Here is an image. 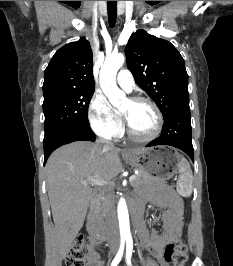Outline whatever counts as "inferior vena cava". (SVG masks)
<instances>
[{
    "mask_svg": "<svg viewBox=\"0 0 233 266\" xmlns=\"http://www.w3.org/2000/svg\"><path fill=\"white\" fill-rule=\"evenodd\" d=\"M98 143L105 144L106 147H109L112 145L110 142L105 141L103 139H99L97 141ZM107 218H106V229L110 233V235L116 240V244L118 245V240H117V223H116V218L114 214V210L112 208V203L110 200L111 197V192L110 190H107Z\"/></svg>",
    "mask_w": 233,
    "mask_h": 266,
    "instance_id": "obj_1",
    "label": "inferior vena cava"
}]
</instances>
